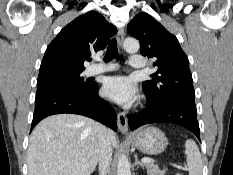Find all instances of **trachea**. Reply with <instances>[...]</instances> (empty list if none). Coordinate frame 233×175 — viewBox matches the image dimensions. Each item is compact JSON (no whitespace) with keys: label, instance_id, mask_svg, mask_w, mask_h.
<instances>
[{"label":"trachea","instance_id":"obj_1","mask_svg":"<svg viewBox=\"0 0 233 175\" xmlns=\"http://www.w3.org/2000/svg\"><path fill=\"white\" fill-rule=\"evenodd\" d=\"M113 58L119 61H124L122 57L119 56L118 48H117V41L115 38L111 39L109 42L108 49L104 57V61L109 62Z\"/></svg>","mask_w":233,"mask_h":175}]
</instances>
